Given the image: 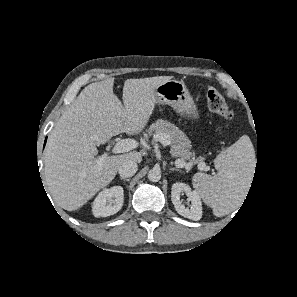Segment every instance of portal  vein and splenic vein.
I'll list each match as a JSON object with an SVG mask.
<instances>
[{
  "mask_svg": "<svg viewBox=\"0 0 297 297\" xmlns=\"http://www.w3.org/2000/svg\"><path fill=\"white\" fill-rule=\"evenodd\" d=\"M155 141L160 142L164 146L170 145V141L168 140V136L165 135V134L156 135L155 136ZM137 145H138V143L134 139H123V140L116 143V145L113 148V152L114 153L127 152V151L135 149L137 147ZM105 158H106V154L99 157L96 160L97 164L102 165ZM175 163L180 165L181 167H184L187 171H189L192 168V163L191 162L186 163L182 159H177L175 161ZM198 169L199 170H206L207 167H206V165L204 163L200 162L198 164Z\"/></svg>",
  "mask_w": 297,
  "mask_h": 297,
  "instance_id": "18ae733b",
  "label": "portal vein and splenic vein"
}]
</instances>
